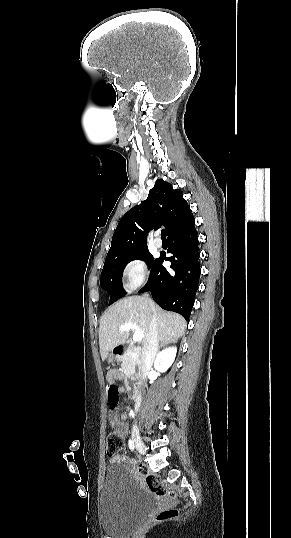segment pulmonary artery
Listing matches in <instances>:
<instances>
[{"instance_id": "pulmonary-artery-1", "label": "pulmonary artery", "mask_w": 291, "mask_h": 538, "mask_svg": "<svg viewBox=\"0 0 291 538\" xmlns=\"http://www.w3.org/2000/svg\"><path fill=\"white\" fill-rule=\"evenodd\" d=\"M154 245H155L157 248H160V247L162 246V242H161V240H160V239H156V240L154 241Z\"/></svg>"}]
</instances>
